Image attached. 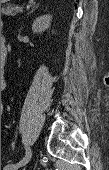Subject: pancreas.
<instances>
[{"instance_id":"pancreas-1","label":"pancreas","mask_w":109,"mask_h":170,"mask_svg":"<svg viewBox=\"0 0 109 170\" xmlns=\"http://www.w3.org/2000/svg\"><path fill=\"white\" fill-rule=\"evenodd\" d=\"M21 7L19 6H8L6 8H2L1 13L2 15L6 16H15L19 11Z\"/></svg>"}]
</instances>
